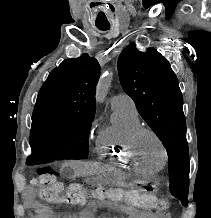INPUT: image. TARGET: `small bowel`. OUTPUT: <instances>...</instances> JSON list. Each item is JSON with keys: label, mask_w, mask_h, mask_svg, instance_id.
<instances>
[{"label": "small bowel", "mask_w": 211, "mask_h": 218, "mask_svg": "<svg viewBox=\"0 0 211 218\" xmlns=\"http://www.w3.org/2000/svg\"><path fill=\"white\" fill-rule=\"evenodd\" d=\"M36 197H37V190L34 187H28L25 189L23 193V198H24L26 205L34 209H37L40 212H48L49 208L45 205L40 204L36 200ZM88 205L92 208L108 207V208L117 209V210L128 212V213L136 212L134 208H130V207H127L126 205L114 203L111 201H92V202H89Z\"/></svg>", "instance_id": "1"}]
</instances>
